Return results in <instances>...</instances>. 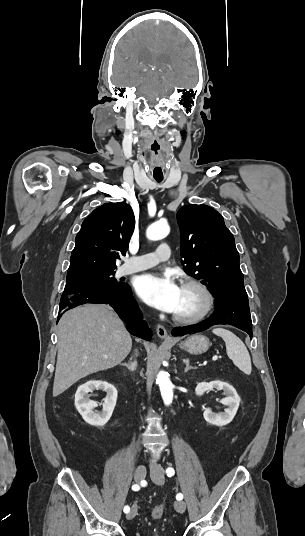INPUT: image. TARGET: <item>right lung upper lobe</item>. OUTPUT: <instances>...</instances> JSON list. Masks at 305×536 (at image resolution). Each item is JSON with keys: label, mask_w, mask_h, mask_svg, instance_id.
Instances as JSON below:
<instances>
[{"label": "right lung upper lobe", "mask_w": 305, "mask_h": 536, "mask_svg": "<svg viewBox=\"0 0 305 536\" xmlns=\"http://www.w3.org/2000/svg\"><path fill=\"white\" fill-rule=\"evenodd\" d=\"M134 226L133 211L126 203L95 209L75 238L67 278L115 270L119 255L126 254Z\"/></svg>", "instance_id": "cb5924a9"}]
</instances>
